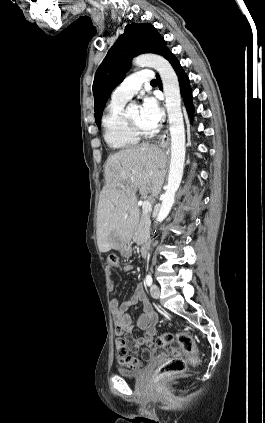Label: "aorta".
Returning <instances> with one entry per match:
<instances>
[{
    "label": "aorta",
    "mask_w": 265,
    "mask_h": 423,
    "mask_svg": "<svg viewBox=\"0 0 265 423\" xmlns=\"http://www.w3.org/2000/svg\"><path fill=\"white\" fill-rule=\"evenodd\" d=\"M139 67H151L159 72L165 95L166 109L170 124L171 162L167 190L163 195L162 204L156 217V223L162 222L169 214L175 193L177 192L185 162V128L181 111V96L178 77L171 64L162 56L156 54L139 55L133 60ZM130 103L128 109L133 107Z\"/></svg>",
    "instance_id": "762f6f07"
}]
</instances>
